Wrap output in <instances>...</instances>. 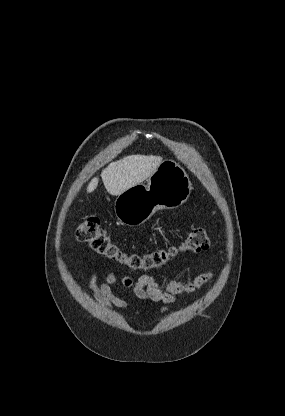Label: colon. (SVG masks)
I'll use <instances>...</instances> for the list:
<instances>
[{
	"label": "colon",
	"mask_w": 285,
	"mask_h": 416,
	"mask_svg": "<svg viewBox=\"0 0 285 416\" xmlns=\"http://www.w3.org/2000/svg\"><path fill=\"white\" fill-rule=\"evenodd\" d=\"M77 240L104 259L118 263L131 272L158 269L182 252L198 253L209 247L210 241L205 229L198 228L190 232L181 244L165 249H158L145 254L126 253L101 227L98 218L86 217L75 229Z\"/></svg>",
	"instance_id": "colon-1"
}]
</instances>
